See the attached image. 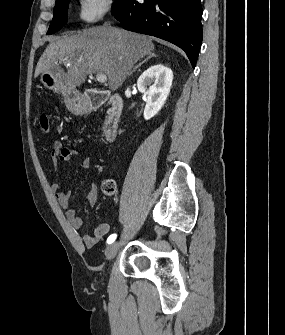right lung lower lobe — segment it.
I'll use <instances>...</instances> for the list:
<instances>
[{
    "instance_id": "98d812e1",
    "label": "right lung lower lobe",
    "mask_w": 285,
    "mask_h": 335,
    "mask_svg": "<svg viewBox=\"0 0 285 335\" xmlns=\"http://www.w3.org/2000/svg\"><path fill=\"white\" fill-rule=\"evenodd\" d=\"M202 13L200 0H116L112 6L123 28L179 46L193 68L203 37Z\"/></svg>"
}]
</instances>
